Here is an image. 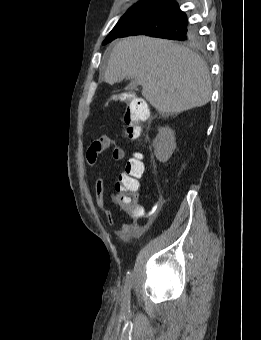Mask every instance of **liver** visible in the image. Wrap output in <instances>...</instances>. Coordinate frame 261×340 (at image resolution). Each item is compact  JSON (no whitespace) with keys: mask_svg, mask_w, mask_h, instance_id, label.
Instances as JSON below:
<instances>
[{"mask_svg":"<svg viewBox=\"0 0 261 340\" xmlns=\"http://www.w3.org/2000/svg\"><path fill=\"white\" fill-rule=\"evenodd\" d=\"M125 78H134L142 86V96L161 114L201 107L211 97L205 62L170 40L135 36L118 41L104 79L113 85Z\"/></svg>","mask_w":261,"mask_h":340,"instance_id":"obj_1","label":"liver"}]
</instances>
